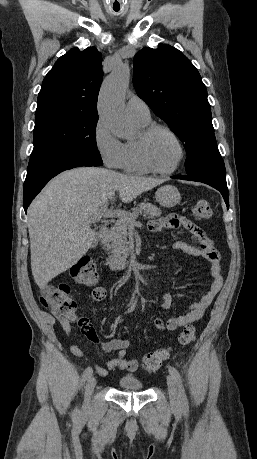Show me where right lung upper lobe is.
Segmentation results:
<instances>
[{"instance_id": "right-lung-upper-lobe-1", "label": "right lung upper lobe", "mask_w": 257, "mask_h": 459, "mask_svg": "<svg viewBox=\"0 0 257 459\" xmlns=\"http://www.w3.org/2000/svg\"><path fill=\"white\" fill-rule=\"evenodd\" d=\"M101 66V53L95 47L68 51L46 75L36 112L64 109L98 115L96 104L103 76Z\"/></svg>"}]
</instances>
